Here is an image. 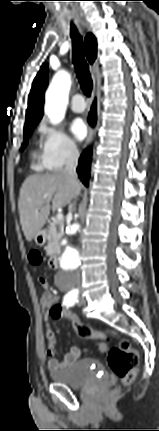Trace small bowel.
I'll use <instances>...</instances> for the list:
<instances>
[{
    "instance_id": "obj_1",
    "label": "small bowel",
    "mask_w": 159,
    "mask_h": 431,
    "mask_svg": "<svg viewBox=\"0 0 159 431\" xmlns=\"http://www.w3.org/2000/svg\"><path fill=\"white\" fill-rule=\"evenodd\" d=\"M40 284L44 289V292L40 299V303L44 313V317L48 321L51 318V313L54 305H52V309L48 308L46 303V298L50 295H53L55 296L56 301H58V297L52 292L50 285L45 278H40ZM47 338H48V347L46 350V356L48 357V367L50 369H59V368L67 367L73 364L74 362H76L81 355L87 352V350L84 348L73 346L70 348L69 352L65 355L63 360L59 361L56 358V349L58 344L57 337L50 329H48L47 331Z\"/></svg>"
}]
</instances>
